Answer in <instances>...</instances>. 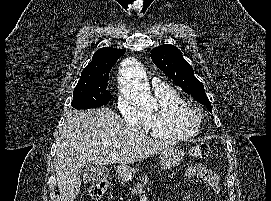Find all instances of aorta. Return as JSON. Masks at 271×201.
I'll return each mask as SVG.
<instances>
[{
	"label": "aorta",
	"mask_w": 271,
	"mask_h": 201,
	"mask_svg": "<svg viewBox=\"0 0 271 201\" xmlns=\"http://www.w3.org/2000/svg\"><path fill=\"white\" fill-rule=\"evenodd\" d=\"M123 91L145 109L156 106L141 65L135 59H126L120 67Z\"/></svg>",
	"instance_id": "obj_1"
}]
</instances>
